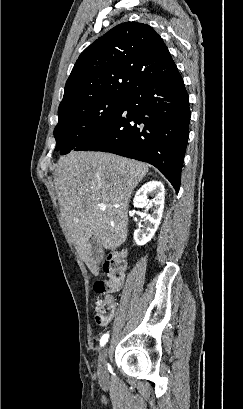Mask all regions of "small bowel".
<instances>
[{"label":"small bowel","mask_w":243,"mask_h":409,"mask_svg":"<svg viewBox=\"0 0 243 409\" xmlns=\"http://www.w3.org/2000/svg\"><path fill=\"white\" fill-rule=\"evenodd\" d=\"M108 299L110 300V301H112V298L109 296L108 297ZM113 302V301H112ZM113 307H114V315H113V317L115 316V314H116V307H115V305L113 304Z\"/></svg>","instance_id":"1"}]
</instances>
